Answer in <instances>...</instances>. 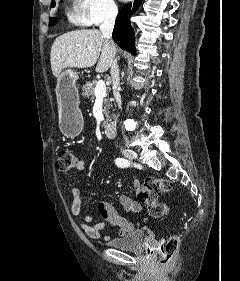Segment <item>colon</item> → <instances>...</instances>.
Masks as SVG:
<instances>
[{
	"label": "colon",
	"instance_id": "1",
	"mask_svg": "<svg viewBox=\"0 0 240 281\" xmlns=\"http://www.w3.org/2000/svg\"><path fill=\"white\" fill-rule=\"evenodd\" d=\"M78 158L71 150H62L59 152L56 167L59 171L68 172L76 168ZM172 190L171 182L163 179L147 178L136 190L137 199L147 206L148 212L152 217L160 218L168 214L167 205L158 202V195L165 194ZM179 248V237L177 235L169 236L161 242L156 248L159 262L167 265L176 255Z\"/></svg>",
	"mask_w": 240,
	"mask_h": 281
}]
</instances>
